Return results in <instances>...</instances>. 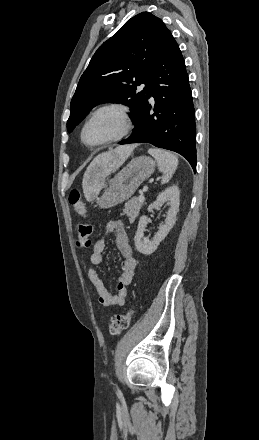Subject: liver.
<instances>
[{
	"mask_svg": "<svg viewBox=\"0 0 259 440\" xmlns=\"http://www.w3.org/2000/svg\"><path fill=\"white\" fill-rule=\"evenodd\" d=\"M135 145H123L98 155L83 177V191L87 201L97 197L105 184V178L119 169L131 155Z\"/></svg>",
	"mask_w": 259,
	"mask_h": 440,
	"instance_id": "1",
	"label": "liver"
}]
</instances>
